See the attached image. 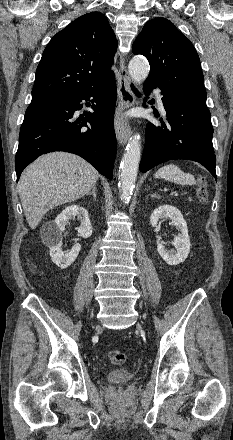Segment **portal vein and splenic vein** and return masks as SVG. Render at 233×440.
Here are the masks:
<instances>
[{
  "label": "portal vein and splenic vein",
  "instance_id": "18ae733b",
  "mask_svg": "<svg viewBox=\"0 0 233 440\" xmlns=\"http://www.w3.org/2000/svg\"><path fill=\"white\" fill-rule=\"evenodd\" d=\"M173 194H174V195H177L178 193H177V191H175V192H173Z\"/></svg>",
  "mask_w": 233,
  "mask_h": 440
}]
</instances>
